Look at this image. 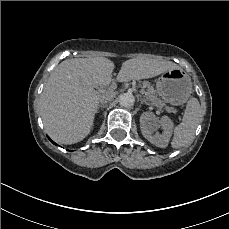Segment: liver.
<instances>
[{
  "instance_id": "1",
  "label": "liver",
  "mask_w": 229,
  "mask_h": 229,
  "mask_svg": "<svg viewBox=\"0 0 229 229\" xmlns=\"http://www.w3.org/2000/svg\"><path fill=\"white\" fill-rule=\"evenodd\" d=\"M114 67L105 57L73 58L62 61L51 73L35 109L54 142L74 144L90 133L100 100L112 101L116 95L106 89ZM177 68L168 61L133 58L122 63L117 81L152 78Z\"/></svg>"
}]
</instances>
